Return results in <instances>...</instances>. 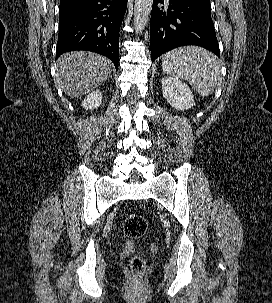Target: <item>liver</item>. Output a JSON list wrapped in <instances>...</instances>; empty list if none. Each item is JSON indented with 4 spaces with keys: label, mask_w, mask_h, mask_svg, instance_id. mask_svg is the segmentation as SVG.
<instances>
[{
    "label": "liver",
    "mask_w": 272,
    "mask_h": 303,
    "mask_svg": "<svg viewBox=\"0 0 272 303\" xmlns=\"http://www.w3.org/2000/svg\"><path fill=\"white\" fill-rule=\"evenodd\" d=\"M112 66L108 58L93 52L65 53L56 62V81L69 97H81L102 85Z\"/></svg>",
    "instance_id": "6515ba94"
}]
</instances>
